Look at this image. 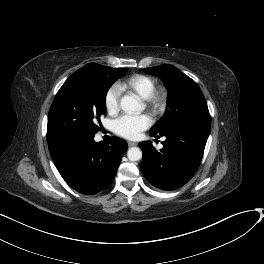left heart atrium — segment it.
<instances>
[{"instance_id": "obj_1", "label": "left heart atrium", "mask_w": 264, "mask_h": 264, "mask_svg": "<svg viewBox=\"0 0 264 264\" xmlns=\"http://www.w3.org/2000/svg\"><path fill=\"white\" fill-rule=\"evenodd\" d=\"M152 124V119L146 115H122L114 121V131L128 139L137 138L141 132Z\"/></svg>"}]
</instances>
